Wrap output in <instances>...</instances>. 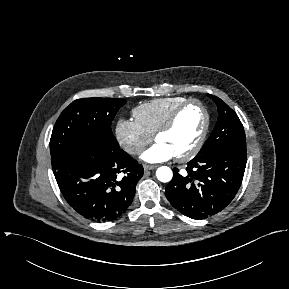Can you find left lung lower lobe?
<instances>
[{
    "instance_id": "0a47b994",
    "label": "left lung lower lobe",
    "mask_w": 289,
    "mask_h": 289,
    "mask_svg": "<svg viewBox=\"0 0 289 289\" xmlns=\"http://www.w3.org/2000/svg\"><path fill=\"white\" fill-rule=\"evenodd\" d=\"M247 150L229 147L187 163V175L174 168L165 195L171 205L192 219L223 210L235 197L245 171Z\"/></svg>"
}]
</instances>
